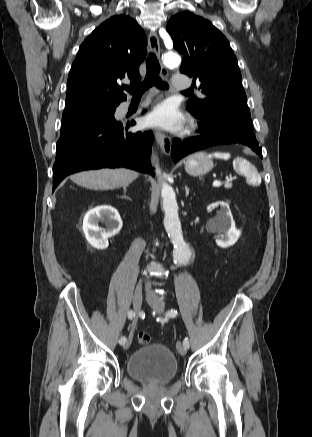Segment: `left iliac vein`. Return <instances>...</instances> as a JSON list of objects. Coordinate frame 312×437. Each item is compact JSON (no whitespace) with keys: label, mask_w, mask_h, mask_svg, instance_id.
<instances>
[{"label":"left iliac vein","mask_w":312,"mask_h":437,"mask_svg":"<svg viewBox=\"0 0 312 437\" xmlns=\"http://www.w3.org/2000/svg\"><path fill=\"white\" fill-rule=\"evenodd\" d=\"M147 302L157 313H162L164 311V304L154 294L150 293L147 295ZM177 350L180 355H186L187 348L181 342L177 343Z\"/></svg>","instance_id":"left-iliac-vein-1"}]
</instances>
